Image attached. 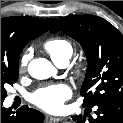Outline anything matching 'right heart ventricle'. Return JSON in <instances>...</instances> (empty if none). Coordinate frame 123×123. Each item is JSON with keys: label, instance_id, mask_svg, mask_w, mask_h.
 I'll list each match as a JSON object with an SVG mask.
<instances>
[{"label": "right heart ventricle", "instance_id": "obj_1", "mask_svg": "<svg viewBox=\"0 0 123 123\" xmlns=\"http://www.w3.org/2000/svg\"><path fill=\"white\" fill-rule=\"evenodd\" d=\"M44 49L56 64L64 61L68 62L73 54L71 42L59 37L47 40L44 44Z\"/></svg>", "mask_w": 123, "mask_h": 123}]
</instances>
